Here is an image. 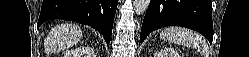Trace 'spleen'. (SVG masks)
I'll return each instance as SVG.
<instances>
[{"mask_svg":"<svg viewBox=\"0 0 249 57\" xmlns=\"http://www.w3.org/2000/svg\"><path fill=\"white\" fill-rule=\"evenodd\" d=\"M160 37L170 43L196 48L203 55H208L205 40L200 35L189 29L182 27H168L162 30Z\"/></svg>","mask_w":249,"mask_h":57,"instance_id":"3e777b00","label":"spleen"}]
</instances>
